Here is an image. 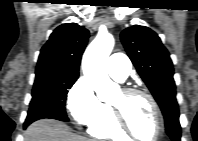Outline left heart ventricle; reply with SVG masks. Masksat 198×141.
Here are the masks:
<instances>
[{"instance_id": "1", "label": "left heart ventricle", "mask_w": 198, "mask_h": 141, "mask_svg": "<svg viewBox=\"0 0 198 141\" xmlns=\"http://www.w3.org/2000/svg\"><path fill=\"white\" fill-rule=\"evenodd\" d=\"M111 104L123 111L130 128L139 138L153 139L157 131L156 119L147 98L141 95L127 96L120 91Z\"/></svg>"}]
</instances>
